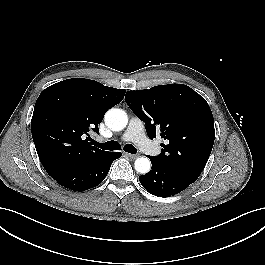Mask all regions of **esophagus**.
I'll return each mask as SVG.
<instances>
[{"mask_svg":"<svg viewBox=\"0 0 265 265\" xmlns=\"http://www.w3.org/2000/svg\"><path fill=\"white\" fill-rule=\"evenodd\" d=\"M126 156H128L130 159H136L138 157L137 154H130V153H125Z\"/></svg>","mask_w":265,"mask_h":265,"instance_id":"1","label":"esophagus"}]
</instances>
